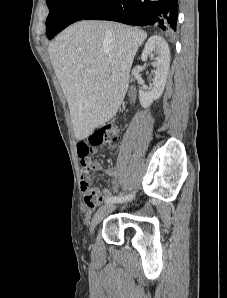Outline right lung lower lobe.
<instances>
[{
    "mask_svg": "<svg viewBox=\"0 0 227 298\" xmlns=\"http://www.w3.org/2000/svg\"><path fill=\"white\" fill-rule=\"evenodd\" d=\"M177 17L178 0H104L83 19L156 25L163 30H176Z\"/></svg>",
    "mask_w": 227,
    "mask_h": 298,
    "instance_id": "obj_1",
    "label": "right lung lower lobe"
}]
</instances>
